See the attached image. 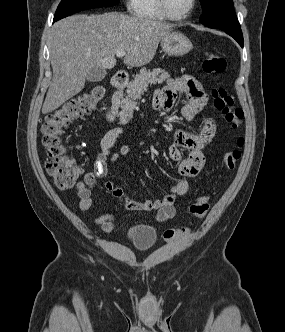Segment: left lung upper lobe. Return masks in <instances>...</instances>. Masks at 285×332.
I'll return each instance as SVG.
<instances>
[{"instance_id": "left-lung-upper-lobe-1", "label": "left lung upper lobe", "mask_w": 285, "mask_h": 332, "mask_svg": "<svg viewBox=\"0 0 285 332\" xmlns=\"http://www.w3.org/2000/svg\"><path fill=\"white\" fill-rule=\"evenodd\" d=\"M202 16L200 22L209 28L238 29L240 24L232 0H200Z\"/></svg>"}]
</instances>
